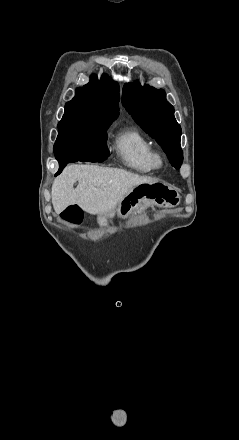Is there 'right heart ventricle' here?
I'll list each match as a JSON object with an SVG mask.
<instances>
[{"label": "right heart ventricle", "mask_w": 239, "mask_h": 440, "mask_svg": "<svg viewBox=\"0 0 239 440\" xmlns=\"http://www.w3.org/2000/svg\"><path fill=\"white\" fill-rule=\"evenodd\" d=\"M112 147L121 164L135 172L148 174L157 169L153 158V145L137 129L129 128L115 133Z\"/></svg>", "instance_id": "e07e8e85"}]
</instances>
